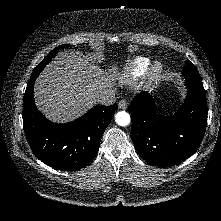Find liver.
Here are the masks:
<instances>
[{"mask_svg": "<svg viewBox=\"0 0 221 221\" xmlns=\"http://www.w3.org/2000/svg\"><path fill=\"white\" fill-rule=\"evenodd\" d=\"M118 75L116 66L104 71L85 56L60 52L35 82L36 105L51 121H73L96 104L98 94L114 88Z\"/></svg>", "mask_w": 221, "mask_h": 221, "instance_id": "liver-1", "label": "liver"}]
</instances>
